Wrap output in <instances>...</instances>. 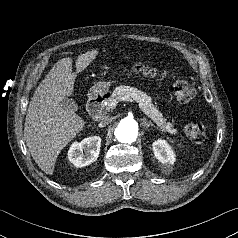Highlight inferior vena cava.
Here are the masks:
<instances>
[{
  "mask_svg": "<svg viewBox=\"0 0 238 238\" xmlns=\"http://www.w3.org/2000/svg\"><path fill=\"white\" fill-rule=\"evenodd\" d=\"M101 120H103V121L99 124V126H104V125L108 124V123L111 121V119L109 118V116H103V117L101 118Z\"/></svg>",
  "mask_w": 238,
  "mask_h": 238,
  "instance_id": "602c4592",
  "label": "inferior vena cava"
}]
</instances>
